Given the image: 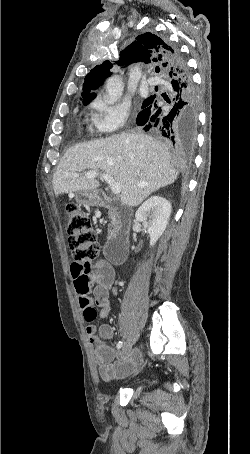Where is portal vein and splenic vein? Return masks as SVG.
Masks as SVG:
<instances>
[{
    "label": "portal vein and splenic vein",
    "mask_w": 250,
    "mask_h": 454,
    "mask_svg": "<svg viewBox=\"0 0 250 454\" xmlns=\"http://www.w3.org/2000/svg\"><path fill=\"white\" fill-rule=\"evenodd\" d=\"M74 176L78 177L79 174L74 173ZM85 176L89 179H93L95 177H101L111 188V191L114 195H118L121 192V184L117 183L110 175L106 173H102L96 170L88 171Z\"/></svg>",
    "instance_id": "portal-vein-and-splenic-vein-1"
}]
</instances>
